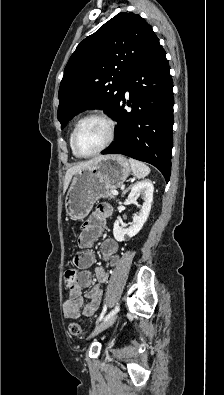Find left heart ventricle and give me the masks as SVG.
Listing matches in <instances>:
<instances>
[{
  "label": "left heart ventricle",
  "mask_w": 224,
  "mask_h": 395,
  "mask_svg": "<svg viewBox=\"0 0 224 395\" xmlns=\"http://www.w3.org/2000/svg\"><path fill=\"white\" fill-rule=\"evenodd\" d=\"M108 137L107 125L99 119L85 121L77 135V147L82 154L96 151Z\"/></svg>",
  "instance_id": "obj_1"
}]
</instances>
